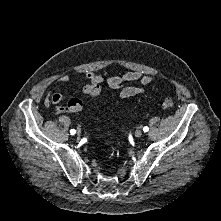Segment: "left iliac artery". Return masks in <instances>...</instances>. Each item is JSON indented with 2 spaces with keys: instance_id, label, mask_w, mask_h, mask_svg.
<instances>
[{
  "instance_id": "1",
  "label": "left iliac artery",
  "mask_w": 221,
  "mask_h": 221,
  "mask_svg": "<svg viewBox=\"0 0 221 221\" xmlns=\"http://www.w3.org/2000/svg\"><path fill=\"white\" fill-rule=\"evenodd\" d=\"M149 130V128L147 127V126H145L144 128H143V131L144 132H147Z\"/></svg>"
}]
</instances>
